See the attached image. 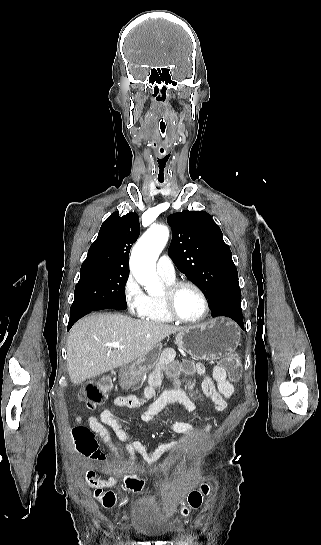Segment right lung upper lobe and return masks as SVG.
<instances>
[{"mask_svg":"<svg viewBox=\"0 0 321 545\" xmlns=\"http://www.w3.org/2000/svg\"><path fill=\"white\" fill-rule=\"evenodd\" d=\"M136 213L119 216L114 212L102 224L95 242L90 246L81 269L102 268L129 271V250L140 233Z\"/></svg>","mask_w":321,"mask_h":545,"instance_id":"1","label":"right lung upper lobe"}]
</instances>
